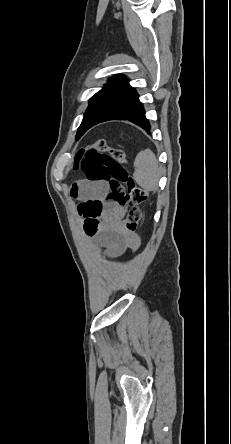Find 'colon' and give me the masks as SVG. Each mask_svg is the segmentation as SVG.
<instances>
[{"instance_id":"obj_1","label":"colon","mask_w":231,"mask_h":444,"mask_svg":"<svg viewBox=\"0 0 231 444\" xmlns=\"http://www.w3.org/2000/svg\"><path fill=\"white\" fill-rule=\"evenodd\" d=\"M126 164L124 150L110 147L105 140L99 139L78 152L74 168L79 169L88 182L104 181L109 184L110 197L126 211V231L134 233L141 219L140 204L148 199V192L134 183ZM101 209L99 202H87L79 207L87 234L94 235L98 231Z\"/></svg>"}]
</instances>
